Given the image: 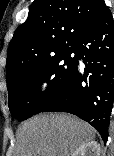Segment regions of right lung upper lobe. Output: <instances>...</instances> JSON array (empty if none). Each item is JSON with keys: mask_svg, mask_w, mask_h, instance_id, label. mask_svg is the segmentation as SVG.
<instances>
[{"mask_svg": "<svg viewBox=\"0 0 114 156\" xmlns=\"http://www.w3.org/2000/svg\"><path fill=\"white\" fill-rule=\"evenodd\" d=\"M107 9L102 0H34L8 50L7 87L21 73L74 49L76 41Z\"/></svg>", "mask_w": 114, "mask_h": 156, "instance_id": "obj_1", "label": "right lung upper lobe"}]
</instances>
